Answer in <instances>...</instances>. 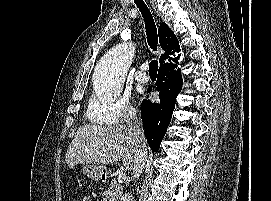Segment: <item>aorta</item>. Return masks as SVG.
Wrapping results in <instances>:
<instances>
[{"label":"aorta","mask_w":271,"mask_h":201,"mask_svg":"<svg viewBox=\"0 0 271 201\" xmlns=\"http://www.w3.org/2000/svg\"><path fill=\"white\" fill-rule=\"evenodd\" d=\"M132 43H121L111 48L95 68L94 89L99 96L116 98L134 57Z\"/></svg>","instance_id":"aorta-1"}]
</instances>
